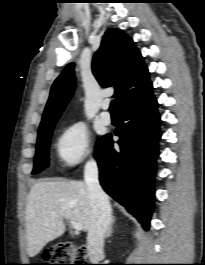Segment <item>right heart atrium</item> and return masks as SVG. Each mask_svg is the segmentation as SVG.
<instances>
[{
    "label": "right heart atrium",
    "instance_id": "right-heart-atrium-1",
    "mask_svg": "<svg viewBox=\"0 0 205 265\" xmlns=\"http://www.w3.org/2000/svg\"><path fill=\"white\" fill-rule=\"evenodd\" d=\"M59 161L65 166H75L92 157L90 133L84 123L77 121L67 126L56 142Z\"/></svg>",
    "mask_w": 205,
    "mask_h": 265
}]
</instances>
